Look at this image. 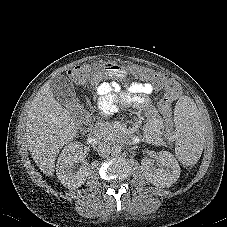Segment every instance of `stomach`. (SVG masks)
Instances as JSON below:
<instances>
[{
	"label": "stomach",
	"instance_id": "1",
	"mask_svg": "<svg viewBox=\"0 0 227 227\" xmlns=\"http://www.w3.org/2000/svg\"><path fill=\"white\" fill-rule=\"evenodd\" d=\"M106 80L128 81L127 65L122 60L107 61L102 66V72L95 77L96 83Z\"/></svg>",
	"mask_w": 227,
	"mask_h": 227
}]
</instances>
